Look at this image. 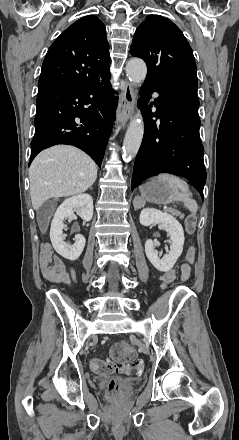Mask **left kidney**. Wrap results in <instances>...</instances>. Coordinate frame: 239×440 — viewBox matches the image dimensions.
<instances>
[{"instance_id": "obj_1", "label": "left kidney", "mask_w": 239, "mask_h": 440, "mask_svg": "<svg viewBox=\"0 0 239 440\" xmlns=\"http://www.w3.org/2000/svg\"><path fill=\"white\" fill-rule=\"evenodd\" d=\"M140 224H142V226L161 224V226H164L165 232H168V236H170L171 240L170 252H167L163 258H160L161 254L158 256V252L155 250L152 240H146L145 252L149 262L153 264L156 270H159V272H169L183 252L185 238L181 224H179L176 218L170 216V214H164V212L154 210V208H144V210H142L140 214Z\"/></svg>"}]
</instances>
